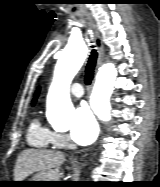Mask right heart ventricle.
<instances>
[{
    "label": "right heart ventricle",
    "instance_id": "right-heart-ventricle-1",
    "mask_svg": "<svg viewBox=\"0 0 160 187\" xmlns=\"http://www.w3.org/2000/svg\"><path fill=\"white\" fill-rule=\"evenodd\" d=\"M28 144L32 147L47 149L55 146L53 132L37 119L33 120L27 133Z\"/></svg>",
    "mask_w": 160,
    "mask_h": 187
}]
</instances>
